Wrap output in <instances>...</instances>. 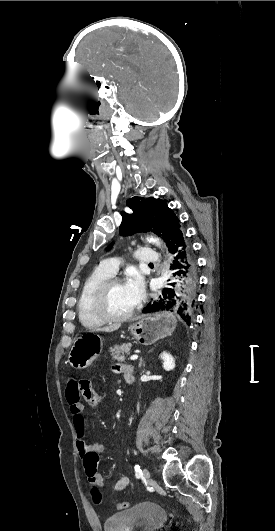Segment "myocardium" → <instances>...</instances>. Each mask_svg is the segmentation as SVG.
Instances as JSON below:
<instances>
[{
	"label": "myocardium",
	"instance_id": "1",
	"mask_svg": "<svg viewBox=\"0 0 275 531\" xmlns=\"http://www.w3.org/2000/svg\"><path fill=\"white\" fill-rule=\"evenodd\" d=\"M122 282V279L114 275L106 278L96 289L91 299V309L93 313L106 322H122L131 318L136 310V306L128 313L116 316L112 314L107 306V297L112 285Z\"/></svg>",
	"mask_w": 275,
	"mask_h": 531
}]
</instances>
